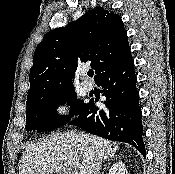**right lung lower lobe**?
<instances>
[{"label":"right lung lower lobe","instance_id":"obj_1","mask_svg":"<svg viewBox=\"0 0 175 174\" xmlns=\"http://www.w3.org/2000/svg\"><path fill=\"white\" fill-rule=\"evenodd\" d=\"M96 84L104 88L106 108L99 109L90 100L69 124L77 125L90 134L129 143L145 156L142 112L131 53L106 68Z\"/></svg>","mask_w":175,"mask_h":174}]
</instances>
